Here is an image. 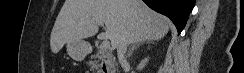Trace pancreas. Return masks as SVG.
<instances>
[{"label":"pancreas","instance_id":"1","mask_svg":"<svg viewBox=\"0 0 244 73\" xmlns=\"http://www.w3.org/2000/svg\"><path fill=\"white\" fill-rule=\"evenodd\" d=\"M91 59H94V61L90 62V64L95 65L94 63L96 62V59H98V61H104L105 59L111 60L112 57L109 55H105V52L103 50H99L96 56L91 57Z\"/></svg>","mask_w":244,"mask_h":73}]
</instances>
